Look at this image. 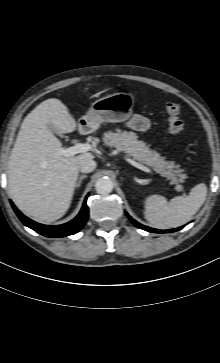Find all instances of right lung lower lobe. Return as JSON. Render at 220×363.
<instances>
[{
  "label": "right lung lower lobe",
  "instance_id": "right-lung-lower-lobe-1",
  "mask_svg": "<svg viewBox=\"0 0 220 363\" xmlns=\"http://www.w3.org/2000/svg\"><path fill=\"white\" fill-rule=\"evenodd\" d=\"M88 195L86 196L87 199ZM86 199L83 203V207L80 213L70 222L62 225H42L24 216L11 202V205L16 212L17 216L23 222L24 225L33 229L37 233L44 235L46 237H65L68 235L75 234L80 231V229L85 225L88 219V207L86 205Z\"/></svg>",
  "mask_w": 220,
  "mask_h": 363
}]
</instances>
